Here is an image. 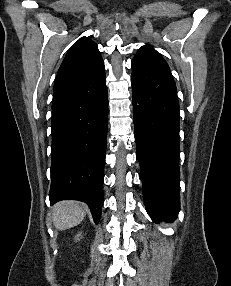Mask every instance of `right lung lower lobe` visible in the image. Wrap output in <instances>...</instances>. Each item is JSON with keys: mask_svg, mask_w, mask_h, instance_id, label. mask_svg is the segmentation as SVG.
I'll return each mask as SVG.
<instances>
[{"mask_svg": "<svg viewBox=\"0 0 231 286\" xmlns=\"http://www.w3.org/2000/svg\"><path fill=\"white\" fill-rule=\"evenodd\" d=\"M50 202L88 204L97 224L103 204L108 128L105 69L54 90Z\"/></svg>", "mask_w": 231, "mask_h": 286, "instance_id": "1", "label": "right lung lower lobe"}]
</instances>
